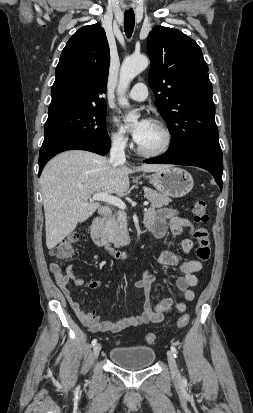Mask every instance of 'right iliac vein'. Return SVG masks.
Here are the masks:
<instances>
[{
  "mask_svg": "<svg viewBox=\"0 0 253 413\" xmlns=\"http://www.w3.org/2000/svg\"><path fill=\"white\" fill-rule=\"evenodd\" d=\"M100 350H101V345L100 344H96L93 347V356H94L95 359L99 356Z\"/></svg>",
  "mask_w": 253,
  "mask_h": 413,
  "instance_id": "obj_1",
  "label": "right iliac vein"
}]
</instances>
